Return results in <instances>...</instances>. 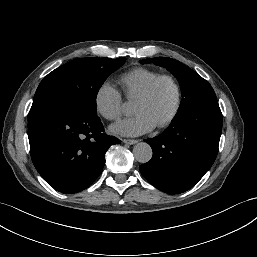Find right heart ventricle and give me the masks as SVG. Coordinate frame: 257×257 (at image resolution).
<instances>
[{
  "instance_id": "1",
  "label": "right heart ventricle",
  "mask_w": 257,
  "mask_h": 257,
  "mask_svg": "<svg viewBox=\"0 0 257 257\" xmlns=\"http://www.w3.org/2000/svg\"><path fill=\"white\" fill-rule=\"evenodd\" d=\"M160 72L144 67L131 69L123 73L117 83L121 92L128 100H134L141 91L157 76Z\"/></svg>"
}]
</instances>
